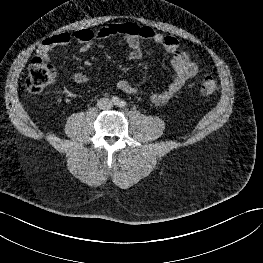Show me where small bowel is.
Listing matches in <instances>:
<instances>
[{
    "mask_svg": "<svg viewBox=\"0 0 263 263\" xmlns=\"http://www.w3.org/2000/svg\"><path fill=\"white\" fill-rule=\"evenodd\" d=\"M113 36L124 38L128 46V57L131 60H139L143 56L141 42L150 41L163 47L171 57V65L174 71L173 79L159 92H150L149 98L155 105L166 104L186 83L198 72L197 64L191 59L188 52L180 48L175 37L164 36L150 27L139 26L134 23H115L100 28L93 32L89 29H81L71 33H59L42 41L37 49L38 56L44 61L49 60L51 51L57 47L76 41L81 44V51H87L96 40H103ZM72 78L77 84H85L87 77L81 72H74ZM117 89L128 94H139L141 90L127 80H119Z\"/></svg>",
    "mask_w": 263,
    "mask_h": 263,
    "instance_id": "1",
    "label": "small bowel"
}]
</instances>
